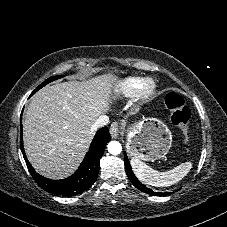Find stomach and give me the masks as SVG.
Listing matches in <instances>:
<instances>
[{
	"label": "stomach",
	"instance_id": "obj_1",
	"mask_svg": "<svg viewBox=\"0 0 227 227\" xmlns=\"http://www.w3.org/2000/svg\"><path fill=\"white\" fill-rule=\"evenodd\" d=\"M172 144L169 128L157 118H145L129 127L127 152L140 160L164 158Z\"/></svg>",
	"mask_w": 227,
	"mask_h": 227
}]
</instances>
